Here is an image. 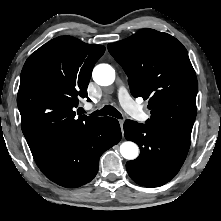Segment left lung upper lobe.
I'll use <instances>...</instances> for the list:
<instances>
[{
	"instance_id": "left-lung-upper-lobe-1",
	"label": "left lung upper lobe",
	"mask_w": 221,
	"mask_h": 221,
	"mask_svg": "<svg viewBox=\"0 0 221 221\" xmlns=\"http://www.w3.org/2000/svg\"><path fill=\"white\" fill-rule=\"evenodd\" d=\"M108 50L127 74L132 95L149 98L146 123L190 140L198 85L185 47L167 33L143 29Z\"/></svg>"
}]
</instances>
